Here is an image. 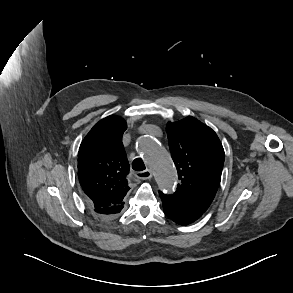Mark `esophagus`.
Wrapping results in <instances>:
<instances>
[{"label":"esophagus","instance_id":"esophagus-1","mask_svg":"<svg viewBox=\"0 0 293 293\" xmlns=\"http://www.w3.org/2000/svg\"><path fill=\"white\" fill-rule=\"evenodd\" d=\"M135 176L139 179H142V180H147V179H150L152 177V172L150 170H144V171H139V172H136Z\"/></svg>","mask_w":293,"mask_h":293}]
</instances>
